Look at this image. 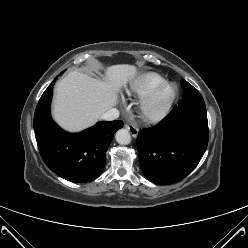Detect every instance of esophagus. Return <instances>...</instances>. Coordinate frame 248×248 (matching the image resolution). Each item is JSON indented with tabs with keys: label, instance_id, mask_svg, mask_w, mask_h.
Masks as SVG:
<instances>
[{
	"label": "esophagus",
	"instance_id": "esophagus-1",
	"mask_svg": "<svg viewBox=\"0 0 248 248\" xmlns=\"http://www.w3.org/2000/svg\"><path fill=\"white\" fill-rule=\"evenodd\" d=\"M124 127L129 130L133 137H136L138 135V129L135 126L126 123Z\"/></svg>",
	"mask_w": 248,
	"mask_h": 248
}]
</instances>
